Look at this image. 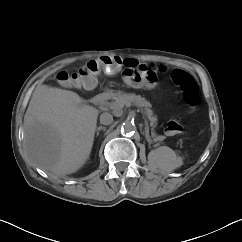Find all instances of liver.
<instances>
[{
    "mask_svg": "<svg viewBox=\"0 0 242 242\" xmlns=\"http://www.w3.org/2000/svg\"><path fill=\"white\" fill-rule=\"evenodd\" d=\"M99 111L68 90L39 85L24 116V142L32 162L57 177L89 159Z\"/></svg>",
    "mask_w": 242,
    "mask_h": 242,
    "instance_id": "liver-1",
    "label": "liver"
}]
</instances>
